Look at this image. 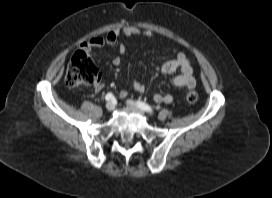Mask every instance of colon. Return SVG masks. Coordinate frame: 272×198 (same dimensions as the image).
<instances>
[{
    "label": "colon",
    "instance_id": "obj_1",
    "mask_svg": "<svg viewBox=\"0 0 272 198\" xmlns=\"http://www.w3.org/2000/svg\"><path fill=\"white\" fill-rule=\"evenodd\" d=\"M99 70L95 66L90 55L86 51H77L65 74V83L69 87H79L91 85L99 78ZM189 103H195L198 100V94L195 91H189L186 95Z\"/></svg>",
    "mask_w": 272,
    "mask_h": 198
}]
</instances>
